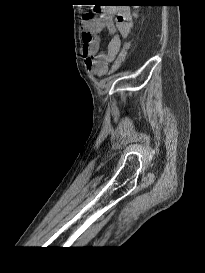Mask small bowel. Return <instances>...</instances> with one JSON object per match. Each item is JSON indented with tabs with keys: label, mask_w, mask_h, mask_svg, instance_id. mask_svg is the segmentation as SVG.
<instances>
[{
	"label": "small bowel",
	"mask_w": 205,
	"mask_h": 273,
	"mask_svg": "<svg viewBox=\"0 0 205 273\" xmlns=\"http://www.w3.org/2000/svg\"><path fill=\"white\" fill-rule=\"evenodd\" d=\"M134 27L132 16L121 8L105 6L97 16L87 14L82 23L83 55L90 73L97 76L107 74L109 65L116 59L122 41L127 39ZM111 34L106 48L100 52L99 36L102 31Z\"/></svg>",
	"instance_id": "1"
}]
</instances>
